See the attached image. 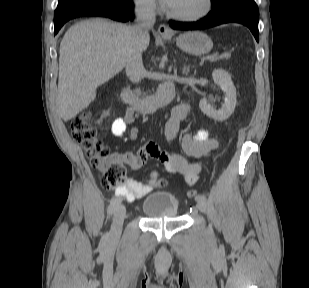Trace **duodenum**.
I'll return each mask as SVG.
<instances>
[{"label":"duodenum","mask_w":309,"mask_h":288,"mask_svg":"<svg viewBox=\"0 0 309 288\" xmlns=\"http://www.w3.org/2000/svg\"><path fill=\"white\" fill-rule=\"evenodd\" d=\"M121 98L130 108L141 113H150L161 109L173 100L174 86L166 83L155 95L145 99H139L128 88H122Z\"/></svg>","instance_id":"duodenum-1"}]
</instances>
